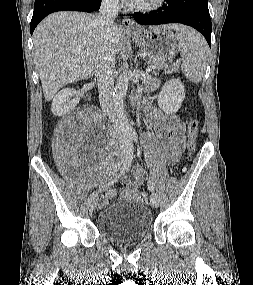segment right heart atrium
<instances>
[{
    "instance_id": "right-heart-atrium-1",
    "label": "right heart atrium",
    "mask_w": 253,
    "mask_h": 285,
    "mask_svg": "<svg viewBox=\"0 0 253 285\" xmlns=\"http://www.w3.org/2000/svg\"><path fill=\"white\" fill-rule=\"evenodd\" d=\"M107 3H109L110 5H118L120 0H105Z\"/></svg>"
}]
</instances>
